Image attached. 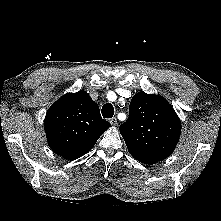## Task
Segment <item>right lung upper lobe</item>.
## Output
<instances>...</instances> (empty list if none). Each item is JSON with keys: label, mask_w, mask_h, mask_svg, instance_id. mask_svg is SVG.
<instances>
[{"label": "right lung upper lobe", "mask_w": 221, "mask_h": 221, "mask_svg": "<svg viewBox=\"0 0 221 221\" xmlns=\"http://www.w3.org/2000/svg\"><path fill=\"white\" fill-rule=\"evenodd\" d=\"M44 126L52 151L74 160L89 152L111 124L102 119L89 94L79 91L56 101L47 111Z\"/></svg>", "instance_id": "right-lung-upper-lobe-1"}]
</instances>
